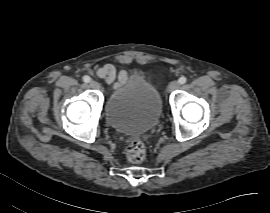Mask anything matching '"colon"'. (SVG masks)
Returning <instances> with one entry per match:
<instances>
[{
    "instance_id": "obj_1",
    "label": "colon",
    "mask_w": 270,
    "mask_h": 213,
    "mask_svg": "<svg viewBox=\"0 0 270 213\" xmlns=\"http://www.w3.org/2000/svg\"><path fill=\"white\" fill-rule=\"evenodd\" d=\"M126 157L131 163H140L145 159L146 147L140 137H135L130 141L126 149Z\"/></svg>"
}]
</instances>
